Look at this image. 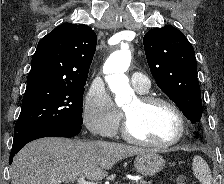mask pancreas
I'll return each instance as SVG.
<instances>
[{
  "label": "pancreas",
  "instance_id": "cf45deb5",
  "mask_svg": "<svg viewBox=\"0 0 224 184\" xmlns=\"http://www.w3.org/2000/svg\"><path fill=\"white\" fill-rule=\"evenodd\" d=\"M136 184H151L150 181H145V180H139L136 182Z\"/></svg>",
  "mask_w": 224,
  "mask_h": 184
}]
</instances>
